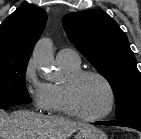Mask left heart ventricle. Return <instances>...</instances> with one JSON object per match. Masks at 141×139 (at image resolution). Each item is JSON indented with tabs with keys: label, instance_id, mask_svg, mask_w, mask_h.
Instances as JSON below:
<instances>
[{
	"label": "left heart ventricle",
	"instance_id": "left-heart-ventricle-1",
	"mask_svg": "<svg viewBox=\"0 0 141 139\" xmlns=\"http://www.w3.org/2000/svg\"><path fill=\"white\" fill-rule=\"evenodd\" d=\"M74 101L83 114L97 116L104 113L109 106V91L99 78L87 76L76 85Z\"/></svg>",
	"mask_w": 141,
	"mask_h": 139
}]
</instances>
